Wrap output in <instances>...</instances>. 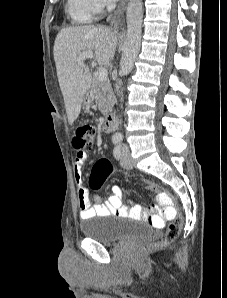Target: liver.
I'll return each mask as SVG.
<instances>
[{
    "label": "liver",
    "mask_w": 227,
    "mask_h": 298,
    "mask_svg": "<svg viewBox=\"0 0 227 298\" xmlns=\"http://www.w3.org/2000/svg\"><path fill=\"white\" fill-rule=\"evenodd\" d=\"M117 39L115 31L92 25L64 28L57 34L53 54L70 125L78 118L92 84L89 66L77 63L79 55L94 52L97 63L108 66L114 57Z\"/></svg>",
    "instance_id": "6515ba94"
}]
</instances>
